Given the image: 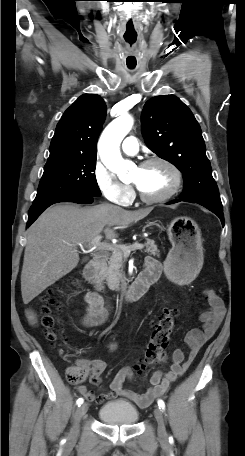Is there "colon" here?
<instances>
[{
    "instance_id": "obj_1",
    "label": "colon",
    "mask_w": 245,
    "mask_h": 456,
    "mask_svg": "<svg viewBox=\"0 0 245 456\" xmlns=\"http://www.w3.org/2000/svg\"><path fill=\"white\" fill-rule=\"evenodd\" d=\"M53 291H48L42 297V324L46 328V337L49 341L55 342L57 334L54 331L56 324L55 311H59L61 304L53 297ZM177 310L170 308L162 313L155 321L152 322V332L145 350L144 359L136 367L138 372L146 370L148 367L156 364L164 357V351L170 340V334L174 327V319ZM89 374V370L82 364L72 366L67 371V378L72 384L83 382Z\"/></svg>"
}]
</instances>
